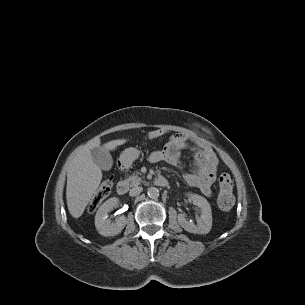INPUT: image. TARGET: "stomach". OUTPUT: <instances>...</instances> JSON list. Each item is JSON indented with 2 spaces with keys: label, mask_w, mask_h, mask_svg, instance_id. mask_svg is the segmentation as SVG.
I'll use <instances>...</instances> for the list:
<instances>
[{
  "label": "stomach",
  "mask_w": 305,
  "mask_h": 305,
  "mask_svg": "<svg viewBox=\"0 0 305 305\" xmlns=\"http://www.w3.org/2000/svg\"><path fill=\"white\" fill-rule=\"evenodd\" d=\"M139 156L140 151L137 148L129 147L121 153L119 162L123 167H129Z\"/></svg>",
  "instance_id": "stomach-1"
}]
</instances>
